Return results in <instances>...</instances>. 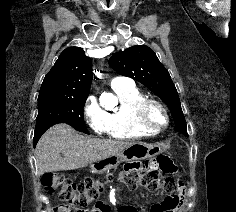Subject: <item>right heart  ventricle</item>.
<instances>
[{
	"label": "right heart ventricle",
	"mask_w": 236,
	"mask_h": 212,
	"mask_svg": "<svg viewBox=\"0 0 236 212\" xmlns=\"http://www.w3.org/2000/svg\"><path fill=\"white\" fill-rule=\"evenodd\" d=\"M119 105L116 109L105 112L107 136L118 140H130L149 137L155 132L142 127L136 118V110L146 95L133 83L112 88Z\"/></svg>",
	"instance_id": "right-heart-ventricle-1"
}]
</instances>
